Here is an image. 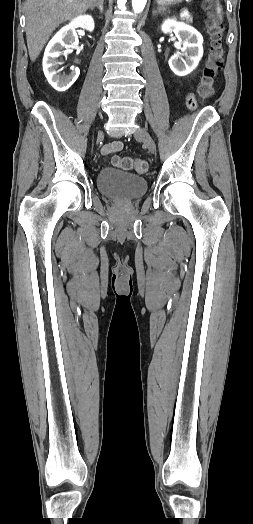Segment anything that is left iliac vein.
Listing matches in <instances>:
<instances>
[{"label": "left iliac vein", "mask_w": 253, "mask_h": 524, "mask_svg": "<svg viewBox=\"0 0 253 524\" xmlns=\"http://www.w3.org/2000/svg\"><path fill=\"white\" fill-rule=\"evenodd\" d=\"M134 136L140 140H142V142L144 143V145L148 148V150L151 152V153H154L156 151V146H155V143L153 141V139L151 138V136L149 135V133L147 132L146 129L142 128V127H139L135 133H134Z\"/></svg>", "instance_id": "left-iliac-vein-1"}]
</instances>
